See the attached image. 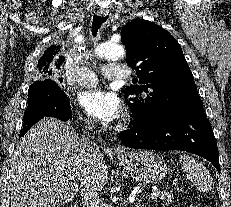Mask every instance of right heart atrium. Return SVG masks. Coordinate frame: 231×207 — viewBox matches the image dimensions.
I'll list each match as a JSON object with an SVG mask.
<instances>
[{
    "instance_id": "obj_1",
    "label": "right heart atrium",
    "mask_w": 231,
    "mask_h": 207,
    "mask_svg": "<svg viewBox=\"0 0 231 207\" xmlns=\"http://www.w3.org/2000/svg\"><path fill=\"white\" fill-rule=\"evenodd\" d=\"M84 123H85L86 125H88V126L91 124L90 121H89L88 119H86V118L84 119Z\"/></svg>"
}]
</instances>
